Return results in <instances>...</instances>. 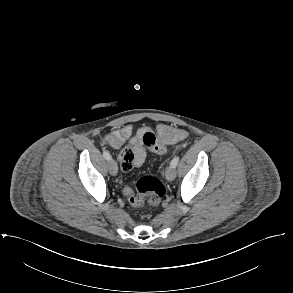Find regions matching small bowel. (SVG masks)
<instances>
[{
  "mask_svg": "<svg viewBox=\"0 0 293 293\" xmlns=\"http://www.w3.org/2000/svg\"><path fill=\"white\" fill-rule=\"evenodd\" d=\"M147 131H149V128L142 127L136 133H133L132 126L125 125L112 130L104 137L103 142L113 149H120L128 143V146L123 148L118 155L123 171L128 172L144 163L146 148L143 143V135ZM157 133L162 142L167 144L181 142L188 137V133L185 130L176 129L165 124H160L157 127Z\"/></svg>",
  "mask_w": 293,
  "mask_h": 293,
  "instance_id": "1",
  "label": "small bowel"
}]
</instances>
